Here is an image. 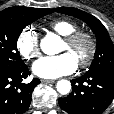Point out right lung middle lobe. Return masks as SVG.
Returning a JSON list of instances; mask_svg holds the SVG:
<instances>
[{
    "mask_svg": "<svg viewBox=\"0 0 114 114\" xmlns=\"http://www.w3.org/2000/svg\"><path fill=\"white\" fill-rule=\"evenodd\" d=\"M52 12L51 9H36L20 15H0V73L25 65L16 46L19 35L25 26Z\"/></svg>",
    "mask_w": 114,
    "mask_h": 114,
    "instance_id": "right-lung-middle-lobe-1",
    "label": "right lung middle lobe"
}]
</instances>
